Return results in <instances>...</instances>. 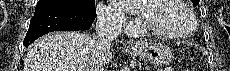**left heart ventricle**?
Segmentation results:
<instances>
[{"label": "left heart ventricle", "mask_w": 230, "mask_h": 71, "mask_svg": "<svg viewBox=\"0 0 230 71\" xmlns=\"http://www.w3.org/2000/svg\"><path fill=\"white\" fill-rule=\"evenodd\" d=\"M146 20L154 28L182 34L191 28V19L188 13L173 0L144 1Z\"/></svg>", "instance_id": "b2bd125f"}]
</instances>
